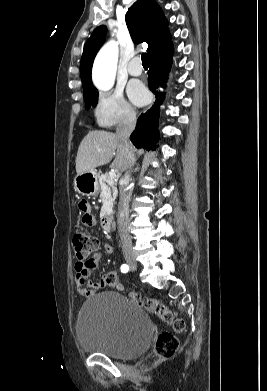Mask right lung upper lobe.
Listing matches in <instances>:
<instances>
[{"mask_svg": "<svg viewBox=\"0 0 267 391\" xmlns=\"http://www.w3.org/2000/svg\"><path fill=\"white\" fill-rule=\"evenodd\" d=\"M126 23L134 43L148 44V58L172 44L168 22L154 0H137L126 14ZM107 29L97 27L86 42L80 62V75L84 92L96 89L91 80L94 58L104 43Z\"/></svg>", "mask_w": 267, "mask_h": 391, "instance_id": "obj_1", "label": "right lung upper lobe"}]
</instances>
